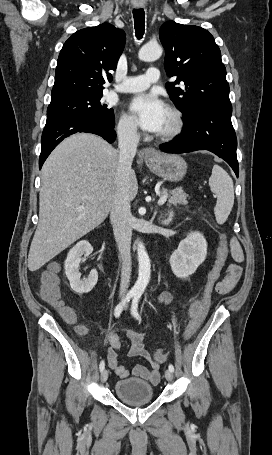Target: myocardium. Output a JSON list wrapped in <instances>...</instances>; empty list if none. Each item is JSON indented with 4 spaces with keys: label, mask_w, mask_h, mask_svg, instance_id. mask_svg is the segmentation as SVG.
Returning <instances> with one entry per match:
<instances>
[{
    "label": "myocardium",
    "mask_w": 272,
    "mask_h": 455,
    "mask_svg": "<svg viewBox=\"0 0 272 455\" xmlns=\"http://www.w3.org/2000/svg\"><path fill=\"white\" fill-rule=\"evenodd\" d=\"M168 114L170 116V125L159 134V139L162 141L173 140L182 132L184 127L182 113L177 108L169 107Z\"/></svg>",
    "instance_id": "myocardium-1"
}]
</instances>
